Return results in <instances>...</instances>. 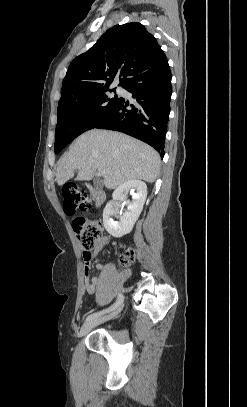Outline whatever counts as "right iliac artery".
Wrapping results in <instances>:
<instances>
[{
  "label": "right iliac artery",
  "mask_w": 247,
  "mask_h": 407,
  "mask_svg": "<svg viewBox=\"0 0 247 407\" xmlns=\"http://www.w3.org/2000/svg\"><path fill=\"white\" fill-rule=\"evenodd\" d=\"M123 300H124V296H123L121 293L118 294L117 301H116L113 305H111L109 308H107V309H105V310H103V311L95 312V313L89 315V316L86 318V322H87V321H90V320H93V319H96V318L99 317L101 314H105V313H108V312H110V311L115 310L117 307H119V306L123 303Z\"/></svg>",
  "instance_id": "82829eb1"
}]
</instances>
